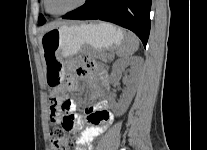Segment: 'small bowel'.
Masks as SVG:
<instances>
[{
	"label": "small bowel",
	"mask_w": 207,
	"mask_h": 150,
	"mask_svg": "<svg viewBox=\"0 0 207 150\" xmlns=\"http://www.w3.org/2000/svg\"><path fill=\"white\" fill-rule=\"evenodd\" d=\"M76 74L97 85L98 95H103L106 92L107 77L101 66L91 63L90 68L78 67ZM67 86L71 90H76V79L70 77ZM63 99L67 98L64 97ZM70 104V107H67V111L72 120V131L81 130L77 138L78 150H92L89 147L90 143L108 128L114 119V115L108 110V105L105 100L86 108L84 114H75L76 105L72 100H70Z\"/></svg>",
	"instance_id": "1"
}]
</instances>
